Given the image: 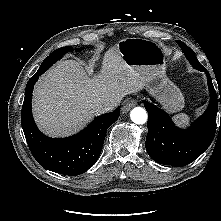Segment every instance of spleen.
<instances>
[{"mask_svg":"<svg viewBox=\"0 0 221 221\" xmlns=\"http://www.w3.org/2000/svg\"><path fill=\"white\" fill-rule=\"evenodd\" d=\"M175 122L180 126H186L190 123V117L187 114H178L174 116Z\"/></svg>","mask_w":221,"mask_h":221,"instance_id":"3e777b00","label":"spleen"}]
</instances>
